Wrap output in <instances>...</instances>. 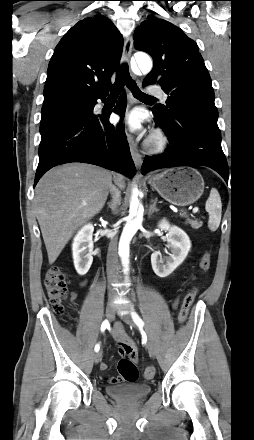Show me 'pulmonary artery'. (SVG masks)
Instances as JSON below:
<instances>
[{"instance_id":"pulmonary-artery-1","label":"pulmonary artery","mask_w":254,"mask_h":440,"mask_svg":"<svg viewBox=\"0 0 254 440\" xmlns=\"http://www.w3.org/2000/svg\"><path fill=\"white\" fill-rule=\"evenodd\" d=\"M147 92L151 95L159 96L163 101H166L167 95L158 86H153L147 89Z\"/></svg>"}]
</instances>
